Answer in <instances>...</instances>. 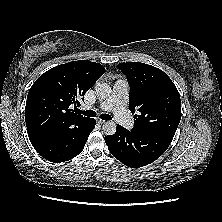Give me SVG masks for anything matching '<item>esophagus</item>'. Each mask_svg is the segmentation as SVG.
Listing matches in <instances>:
<instances>
[{"label":"esophagus","instance_id":"obj_1","mask_svg":"<svg viewBox=\"0 0 222 222\" xmlns=\"http://www.w3.org/2000/svg\"><path fill=\"white\" fill-rule=\"evenodd\" d=\"M97 122H98L99 124H101V125H103V124H105V123H106V121L101 120V119H98V120H97Z\"/></svg>","mask_w":222,"mask_h":222}]
</instances>
